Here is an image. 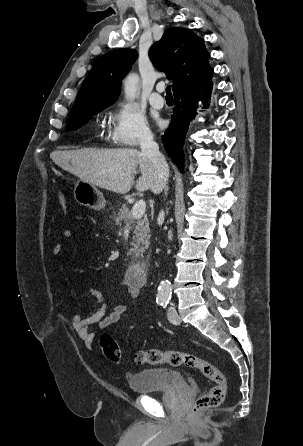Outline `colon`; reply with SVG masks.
I'll list each match as a JSON object with an SVG mask.
<instances>
[{
	"label": "colon",
	"instance_id": "5ec220e1",
	"mask_svg": "<svg viewBox=\"0 0 303 446\" xmlns=\"http://www.w3.org/2000/svg\"><path fill=\"white\" fill-rule=\"evenodd\" d=\"M59 202L61 208L67 211L68 202L66 198L59 196ZM99 343L107 359L115 363L121 361L122 354L120 346L113 336L104 333L100 336ZM134 361L138 364L186 366L201 371L213 384L208 391L199 396L193 407V413L215 407L221 404L226 398L227 381L224 373L212 363L194 354L179 351H161L151 348L137 351L134 354Z\"/></svg>",
	"mask_w": 303,
	"mask_h": 446
}]
</instances>
